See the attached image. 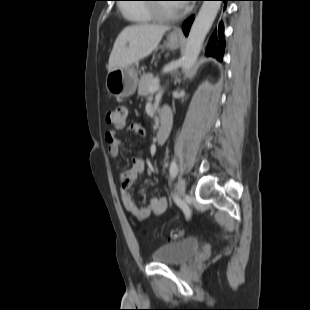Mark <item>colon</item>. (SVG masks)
<instances>
[{"instance_id": "1", "label": "colon", "mask_w": 310, "mask_h": 310, "mask_svg": "<svg viewBox=\"0 0 310 310\" xmlns=\"http://www.w3.org/2000/svg\"><path fill=\"white\" fill-rule=\"evenodd\" d=\"M127 116V108L124 105H118L106 113V121L116 129H122L125 126ZM183 236L181 229H173L169 231L168 238L171 240L179 239Z\"/></svg>"}]
</instances>
